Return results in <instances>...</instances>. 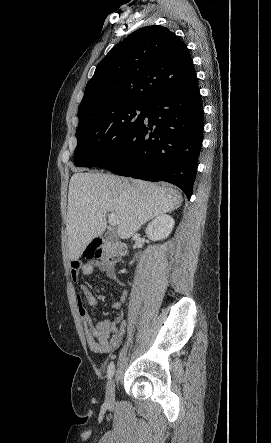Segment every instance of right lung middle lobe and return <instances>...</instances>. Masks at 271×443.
Listing matches in <instances>:
<instances>
[{"mask_svg": "<svg viewBox=\"0 0 271 443\" xmlns=\"http://www.w3.org/2000/svg\"><path fill=\"white\" fill-rule=\"evenodd\" d=\"M147 108L148 103L130 102L100 116L79 119L74 164L78 167L101 166L143 121Z\"/></svg>", "mask_w": 271, "mask_h": 443, "instance_id": "right-lung-middle-lobe-1", "label": "right lung middle lobe"}]
</instances>
